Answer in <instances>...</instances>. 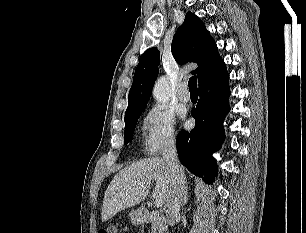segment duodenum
Returning a JSON list of instances; mask_svg holds the SVG:
<instances>
[{
  "label": "duodenum",
  "instance_id": "1",
  "mask_svg": "<svg viewBox=\"0 0 306 233\" xmlns=\"http://www.w3.org/2000/svg\"><path fill=\"white\" fill-rule=\"evenodd\" d=\"M142 217L146 220L148 218V212L146 210L141 211Z\"/></svg>",
  "mask_w": 306,
  "mask_h": 233
}]
</instances>
